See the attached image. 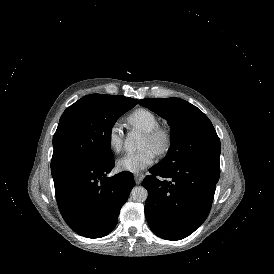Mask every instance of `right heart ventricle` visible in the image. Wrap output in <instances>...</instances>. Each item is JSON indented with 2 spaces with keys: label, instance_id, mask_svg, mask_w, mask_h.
Segmentation results:
<instances>
[{
  "label": "right heart ventricle",
  "instance_id": "right-heart-ventricle-1",
  "mask_svg": "<svg viewBox=\"0 0 274 274\" xmlns=\"http://www.w3.org/2000/svg\"><path fill=\"white\" fill-rule=\"evenodd\" d=\"M130 125L138 127L142 132H151L159 127V122L156 116L146 110H140L132 115H130L127 119Z\"/></svg>",
  "mask_w": 274,
  "mask_h": 274
}]
</instances>
